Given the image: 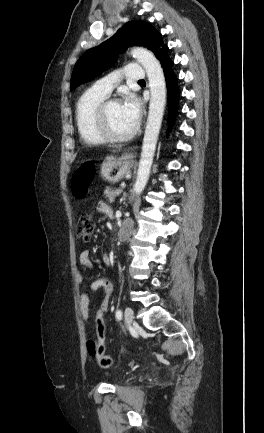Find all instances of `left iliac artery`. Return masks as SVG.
<instances>
[{"label":"left iliac artery","instance_id":"44dca946","mask_svg":"<svg viewBox=\"0 0 264 433\" xmlns=\"http://www.w3.org/2000/svg\"><path fill=\"white\" fill-rule=\"evenodd\" d=\"M116 318H117L118 320H121V318H122V312H121L120 310H117V311H116Z\"/></svg>","mask_w":264,"mask_h":433}]
</instances>
